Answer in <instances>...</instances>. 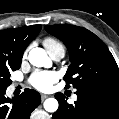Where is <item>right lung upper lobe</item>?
<instances>
[{
  "mask_svg": "<svg viewBox=\"0 0 119 119\" xmlns=\"http://www.w3.org/2000/svg\"><path fill=\"white\" fill-rule=\"evenodd\" d=\"M40 30L41 25H31L0 31V66L20 68L23 52Z\"/></svg>",
  "mask_w": 119,
  "mask_h": 119,
  "instance_id": "obj_1",
  "label": "right lung upper lobe"
}]
</instances>
